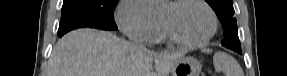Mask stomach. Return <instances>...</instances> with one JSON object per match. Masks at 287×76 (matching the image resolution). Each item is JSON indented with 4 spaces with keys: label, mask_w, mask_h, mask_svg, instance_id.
Returning <instances> with one entry per match:
<instances>
[{
    "label": "stomach",
    "mask_w": 287,
    "mask_h": 76,
    "mask_svg": "<svg viewBox=\"0 0 287 76\" xmlns=\"http://www.w3.org/2000/svg\"><path fill=\"white\" fill-rule=\"evenodd\" d=\"M202 65L192 57L179 59L171 70V76H199Z\"/></svg>",
    "instance_id": "stomach-1"
}]
</instances>
